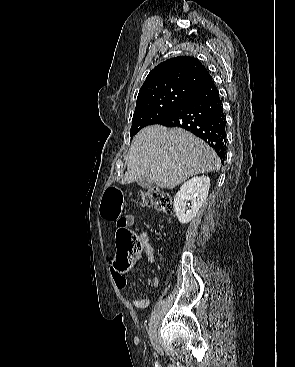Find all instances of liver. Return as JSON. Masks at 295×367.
Wrapping results in <instances>:
<instances>
[{"instance_id": "6515ba94", "label": "liver", "mask_w": 295, "mask_h": 367, "mask_svg": "<svg viewBox=\"0 0 295 367\" xmlns=\"http://www.w3.org/2000/svg\"><path fill=\"white\" fill-rule=\"evenodd\" d=\"M220 165L216 152L191 133L152 125L133 138L121 183L143 177L160 188L173 189L189 177L217 171Z\"/></svg>"}]
</instances>
